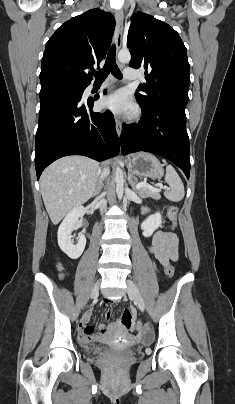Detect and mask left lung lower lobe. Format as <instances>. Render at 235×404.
<instances>
[{
  "label": "left lung lower lobe",
  "mask_w": 235,
  "mask_h": 404,
  "mask_svg": "<svg viewBox=\"0 0 235 404\" xmlns=\"http://www.w3.org/2000/svg\"><path fill=\"white\" fill-rule=\"evenodd\" d=\"M185 107L170 102L142 107L143 116L137 124H123L121 153L146 151L161 155L181 168L189 179L190 147Z\"/></svg>",
  "instance_id": "1"
}]
</instances>
